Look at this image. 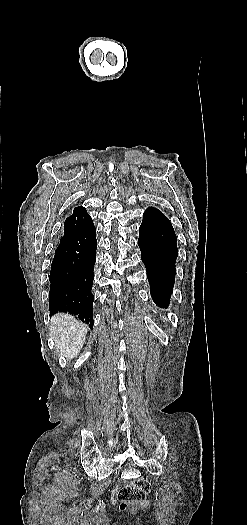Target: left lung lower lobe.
I'll return each mask as SVG.
<instances>
[{
    "mask_svg": "<svg viewBox=\"0 0 247 525\" xmlns=\"http://www.w3.org/2000/svg\"><path fill=\"white\" fill-rule=\"evenodd\" d=\"M176 234L168 218L144 213L139 227L138 245L147 269L151 295L159 307H167L174 286L178 255Z\"/></svg>",
    "mask_w": 247,
    "mask_h": 525,
    "instance_id": "1",
    "label": "left lung lower lobe"
}]
</instances>
